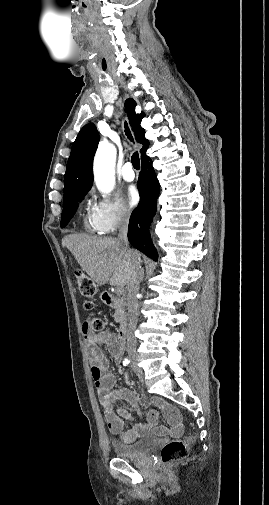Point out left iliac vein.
<instances>
[{"instance_id": "obj_1", "label": "left iliac vein", "mask_w": 269, "mask_h": 505, "mask_svg": "<svg viewBox=\"0 0 269 505\" xmlns=\"http://www.w3.org/2000/svg\"><path fill=\"white\" fill-rule=\"evenodd\" d=\"M131 366H132L133 371H135V372H136V370L138 369V367H137L136 363L132 362V365H131Z\"/></svg>"}]
</instances>
